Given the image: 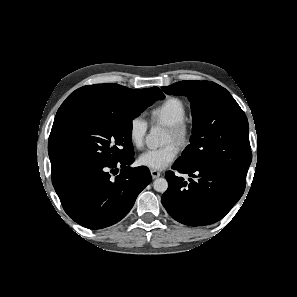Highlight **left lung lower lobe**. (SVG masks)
<instances>
[{
  "label": "left lung lower lobe",
  "instance_id": "left-lung-lower-lobe-1",
  "mask_svg": "<svg viewBox=\"0 0 297 297\" xmlns=\"http://www.w3.org/2000/svg\"><path fill=\"white\" fill-rule=\"evenodd\" d=\"M172 169L196 179L166 173L168 189L162 204L176 221L188 226L213 224L222 219L241 198L245 179L229 172L200 167H183L174 163Z\"/></svg>",
  "mask_w": 297,
  "mask_h": 297
}]
</instances>
